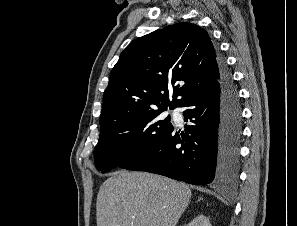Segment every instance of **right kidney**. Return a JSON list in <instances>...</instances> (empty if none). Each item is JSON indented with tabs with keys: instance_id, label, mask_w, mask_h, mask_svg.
Listing matches in <instances>:
<instances>
[{
	"instance_id": "obj_1",
	"label": "right kidney",
	"mask_w": 297,
	"mask_h": 226,
	"mask_svg": "<svg viewBox=\"0 0 297 226\" xmlns=\"http://www.w3.org/2000/svg\"><path fill=\"white\" fill-rule=\"evenodd\" d=\"M186 226H212L209 218H207L204 215H199L196 218H194L189 224Z\"/></svg>"
}]
</instances>
